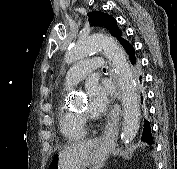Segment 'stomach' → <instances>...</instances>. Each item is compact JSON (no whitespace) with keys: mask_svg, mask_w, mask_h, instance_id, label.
Listing matches in <instances>:
<instances>
[{"mask_svg":"<svg viewBox=\"0 0 177 169\" xmlns=\"http://www.w3.org/2000/svg\"><path fill=\"white\" fill-rule=\"evenodd\" d=\"M112 149L113 145L111 143L98 142L91 150L81 169H102ZM49 169H58L57 156L54 157Z\"/></svg>","mask_w":177,"mask_h":169,"instance_id":"1","label":"stomach"}]
</instances>
